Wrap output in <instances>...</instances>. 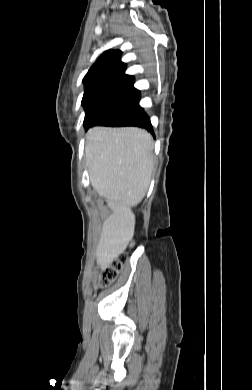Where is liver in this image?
Listing matches in <instances>:
<instances>
[{"label": "liver", "instance_id": "liver-1", "mask_svg": "<svg viewBox=\"0 0 252 390\" xmlns=\"http://www.w3.org/2000/svg\"><path fill=\"white\" fill-rule=\"evenodd\" d=\"M86 164L91 185L112 214L103 222L96 262L108 266L124 252L134 234L130 208L145 196L154 161L153 140L145 130L93 127L86 135Z\"/></svg>", "mask_w": 252, "mask_h": 390}]
</instances>
